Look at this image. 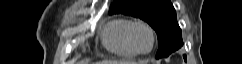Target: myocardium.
Listing matches in <instances>:
<instances>
[{"mask_svg": "<svg viewBox=\"0 0 242 64\" xmlns=\"http://www.w3.org/2000/svg\"><path fill=\"white\" fill-rule=\"evenodd\" d=\"M137 27H143L145 28L150 36H151V47L147 50V51H141L137 48V46L135 45L134 43V40H133V31L135 28ZM127 41L130 45V47L133 49V51L136 53V54H139V55H146V54H149L155 47V44H156V34H155V31L153 29V27L147 23L146 21L144 20H134L131 22V24L129 25L128 29H127Z\"/></svg>", "mask_w": 242, "mask_h": 64, "instance_id": "1", "label": "myocardium"}]
</instances>
